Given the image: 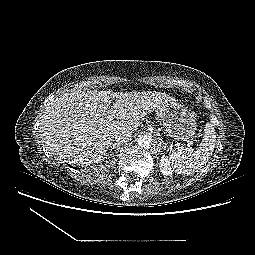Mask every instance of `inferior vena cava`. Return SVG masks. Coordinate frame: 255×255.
I'll return each instance as SVG.
<instances>
[{"label":"inferior vena cava","mask_w":255,"mask_h":255,"mask_svg":"<svg viewBox=\"0 0 255 255\" xmlns=\"http://www.w3.org/2000/svg\"><path fill=\"white\" fill-rule=\"evenodd\" d=\"M132 132L129 130H120L115 134V140L118 143H125L131 140Z\"/></svg>","instance_id":"602c4592"}]
</instances>
